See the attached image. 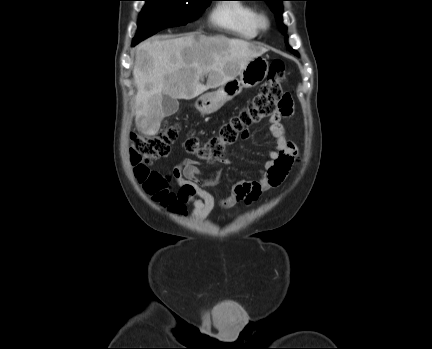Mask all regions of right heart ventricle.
Here are the masks:
<instances>
[{
  "label": "right heart ventricle",
  "instance_id": "1",
  "mask_svg": "<svg viewBox=\"0 0 432 349\" xmlns=\"http://www.w3.org/2000/svg\"><path fill=\"white\" fill-rule=\"evenodd\" d=\"M257 14V10L247 4H218L212 11L211 21L239 38L253 39L259 33Z\"/></svg>",
  "mask_w": 432,
  "mask_h": 349
}]
</instances>
